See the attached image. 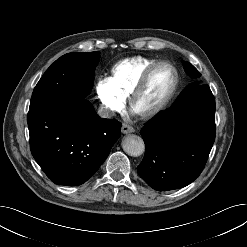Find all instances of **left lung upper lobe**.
<instances>
[{
	"mask_svg": "<svg viewBox=\"0 0 247 247\" xmlns=\"http://www.w3.org/2000/svg\"><path fill=\"white\" fill-rule=\"evenodd\" d=\"M183 66H184V69H185L186 73L189 74L192 78H199L201 76V74L197 71V69L191 63L185 61L183 63ZM198 86H200V84L197 83V82L188 85L184 89V91L180 94L178 99L184 97L185 95H187L189 92H191L192 90H194Z\"/></svg>",
	"mask_w": 247,
	"mask_h": 247,
	"instance_id": "left-lung-upper-lobe-1",
	"label": "left lung upper lobe"
}]
</instances>
